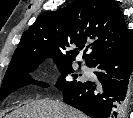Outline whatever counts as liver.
Masks as SVG:
<instances>
[{"label":"liver","instance_id":"liver-1","mask_svg":"<svg viewBox=\"0 0 133 118\" xmlns=\"http://www.w3.org/2000/svg\"><path fill=\"white\" fill-rule=\"evenodd\" d=\"M7 118H87L82 112L58 100L41 99L27 102Z\"/></svg>","mask_w":133,"mask_h":118}]
</instances>
